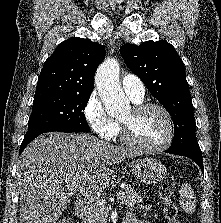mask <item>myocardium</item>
I'll list each match as a JSON object with an SVG mask.
<instances>
[{
  "label": "myocardium",
  "mask_w": 221,
  "mask_h": 223,
  "mask_svg": "<svg viewBox=\"0 0 221 223\" xmlns=\"http://www.w3.org/2000/svg\"><path fill=\"white\" fill-rule=\"evenodd\" d=\"M132 109L135 113H141L149 109H155V110L160 111L164 115L168 124L167 136L160 144L155 145V146L141 144L132 138L130 125L123 121H120L122 141L129 147L139 150V151H144V152H159V151H163L167 149L172 144L175 137V125H174L173 117L171 113L168 111V109H166L161 104L152 103V102L136 103Z\"/></svg>",
  "instance_id": "1"
}]
</instances>
